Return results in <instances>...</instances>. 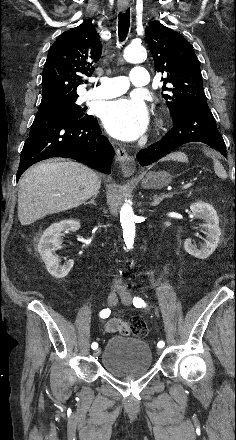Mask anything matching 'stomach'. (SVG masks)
I'll return each mask as SVG.
<instances>
[{
  "instance_id": "1",
  "label": "stomach",
  "mask_w": 236,
  "mask_h": 440,
  "mask_svg": "<svg viewBox=\"0 0 236 440\" xmlns=\"http://www.w3.org/2000/svg\"><path fill=\"white\" fill-rule=\"evenodd\" d=\"M172 180V175L166 171L148 172L142 179L141 185L145 189H159L167 186Z\"/></svg>"
}]
</instances>
